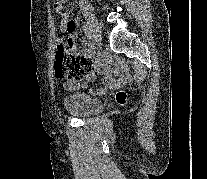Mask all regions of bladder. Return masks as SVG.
I'll use <instances>...</instances> for the list:
<instances>
[{
    "label": "bladder",
    "mask_w": 207,
    "mask_h": 179,
    "mask_svg": "<svg viewBox=\"0 0 207 179\" xmlns=\"http://www.w3.org/2000/svg\"><path fill=\"white\" fill-rule=\"evenodd\" d=\"M64 108L70 115L87 117L99 113L102 109V102L87 91L80 90L66 96Z\"/></svg>",
    "instance_id": "bladder-1"
}]
</instances>
